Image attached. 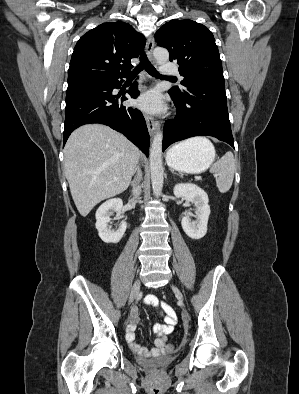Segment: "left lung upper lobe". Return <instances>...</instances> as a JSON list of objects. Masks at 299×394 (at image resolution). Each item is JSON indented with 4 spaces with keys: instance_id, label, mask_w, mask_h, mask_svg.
<instances>
[{
    "instance_id": "1",
    "label": "left lung upper lobe",
    "mask_w": 299,
    "mask_h": 394,
    "mask_svg": "<svg viewBox=\"0 0 299 394\" xmlns=\"http://www.w3.org/2000/svg\"><path fill=\"white\" fill-rule=\"evenodd\" d=\"M155 40L169 51L170 61H177L180 75L184 77L183 86L198 78L224 80L218 47L204 25L188 19H173L156 32ZM172 91L182 92L178 87Z\"/></svg>"
}]
</instances>
